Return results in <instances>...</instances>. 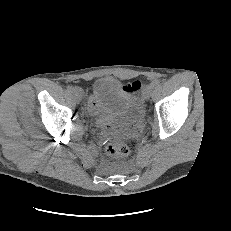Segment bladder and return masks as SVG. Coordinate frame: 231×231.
I'll list each match as a JSON object with an SVG mask.
<instances>
[{"label": "bladder", "mask_w": 231, "mask_h": 231, "mask_svg": "<svg viewBox=\"0 0 231 231\" xmlns=\"http://www.w3.org/2000/svg\"><path fill=\"white\" fill-rule=\"evenodd\" d=\"M93 96L108 114L122 116L132 105V92L113 77L98 78L93 84Z\"/></svg>", "instance_id": "obj_1"}]
</instances>
